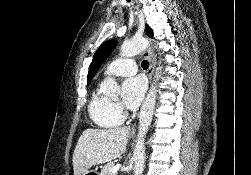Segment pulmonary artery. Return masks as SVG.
Listing matches in <instances>:
<instances>
[{"label": "pulmonary artery", "instance_id": "pulmonary-artery-1", "mask_svg": "<svg viewBox=\"0 0 251 175\" xmlns=\"http://www.w3.org/2000/svg\"><path fill=\"white\" fill-rule=\"evenodd\" d=\"M138 62H110L103 76H126L137 72Z\"/></svg>", "mask_w": 251, "mask_h": 175}]
</instances>
